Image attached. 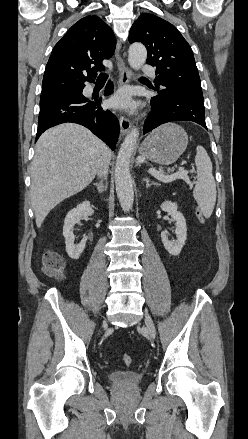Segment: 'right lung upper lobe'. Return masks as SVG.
Here are the masks:
<instances>
[{
    "mask_svg": "<svg viewBox=\"0 0 248 439\" xmlns=\"http://www.w3.org/2000/svg\"><path fill=\"white\" fill-rule=\"evenodd\" d=\"M116 39L98 16L76 22L55 45L46 65L41 97L62 94L93 82L104 69L103 59L112 57Z\"/></svg>",
    "mask_w": 248,
    "mask_h": 439,
    "instance_id": "1",
    "label": "right lung upper lobe"
}]
</instances>
